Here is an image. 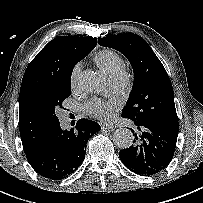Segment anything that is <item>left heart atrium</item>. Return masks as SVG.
<instances>
[{"mask_svg":"<svg viewBox=\"0 0 203 203\" xmlns=\"http://www.w3.org/2000/svg\"><path fill=\"white\" fill-rule=\"evenodd\" d=\"M117 107L118 102L116 100L104 101L100 99H94L85 105V111L87 114L93 117L108 119L112 116Z\"/></svg>","mask_w":203,"mask_h":203,"instance_id":"obj_1","label":"left heart atrium"}]
</instances>
